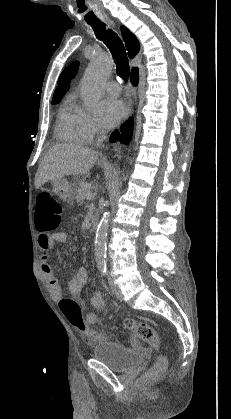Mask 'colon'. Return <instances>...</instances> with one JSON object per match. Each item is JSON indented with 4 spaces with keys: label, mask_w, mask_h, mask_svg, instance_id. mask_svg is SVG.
Instances as JSON below:
<instances>
[{
    "label": "colon",
    "mask_w": 231,
    "mask_h": 419,
    "mask_svg": "<svg viewBox=\"0 0 231 419\" xmlns=\"http://www.w3.org/2000/svg\"><path fill=\"white\" fill-rule=\"evenodd\" d=\"M63 209L52 192H43L38 195L35 211L36 228L42 233L55 231L62 222ZM60 309L69 323L83 333L87 341H93L97 337L95 330L89 328L82 315V310L77 301L71 298L62 299L59 303ZM124 327L135 334L140 340L147 343L156 350L160 348V340L155 330L146 322H137L134 319L126 318L123 321ZM166 366V359L158 356L151 369V374L161 372Z\"/></svg>",
    "instance_id": "5ec220e1"
}]
</instances>
